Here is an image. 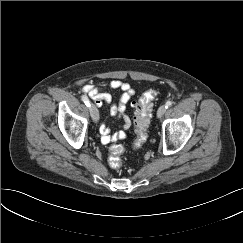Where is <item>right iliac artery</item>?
I'll return each mask as SVG.
<instances>
[{
    "mask_svg": "<svg viewBox=\"0 0 243 243\" xmlns=\"http://www.w3.org/2000/svg\"><path fill=\"white\" fill-rule=\"evenodd\" d=\"M82 101L87 105L90 106V101L87 96H82Z\"/></svg>",
    "mask_w": 243,
    "mask_h": 243,
    "instance_id": "1",
    "label": "right iliac artery"
}]
</instances>
